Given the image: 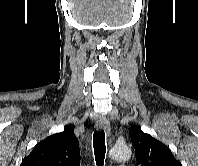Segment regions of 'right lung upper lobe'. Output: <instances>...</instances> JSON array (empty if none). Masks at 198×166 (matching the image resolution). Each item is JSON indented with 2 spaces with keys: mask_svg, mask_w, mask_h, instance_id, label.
I'll return each instance as SVG.
<instances>
[{
  "mask_svg": "<svg viewBox=\"0 0 198 166\" xmlns=\"http://www.w3.org/2000/svg\"><path fill=\"white\" fill-rule=\"evenodd\" d=\"M20 166H80L79 143L73 127L39 142Z\"/></svg>",
  "mask_w": 198,
  "mask_h": 166,
  "instance_id": "1",
  "label": "right lung upper lobe"
}]
</instances>
